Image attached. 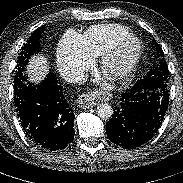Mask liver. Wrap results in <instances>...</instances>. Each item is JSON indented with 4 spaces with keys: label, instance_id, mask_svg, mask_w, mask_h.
Instances as JSON below:
<instances>
[{
    "label": "liver",
    "instance_id": "obj_1",
    "mask_svg": "<svg viewBox=\"0 0 183 183\" xmlns=\"http://www.w3.org/2000/svg\"><path fill=\"white\" fill-rule=\"evenodd\" d=\"M27 72L30 81L37 82L44 79L48 72L46 58L43 55L33 56L29 62Z\"/></svg>",
    "mask_w": 183,
    "mask_h": 183
}]
</instances>
